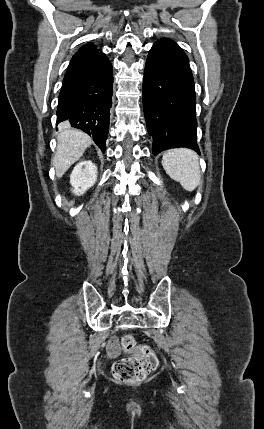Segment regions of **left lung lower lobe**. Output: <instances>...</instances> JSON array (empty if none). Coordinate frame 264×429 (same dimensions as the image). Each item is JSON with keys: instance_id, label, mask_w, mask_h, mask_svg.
Wrapping results in <instances>:
<instances>
[{"instance_id": "left-lung-lower-lobe-1", "label": "left lung lower lobe", "mask_w": 264, "mask_h": 429, "mask_svg": "<svg viewBox=\"0 0 264 429\" xmlns=\"http://www.w3.org/2000/svg\"><path fill=\"white\" fill-rule=\"evenodd\" d=\"M142 93L153 154L175 147L199 153L193 76L187 56L171 39L163 38L151 48Z\"/></svg>"}]
</instances>
